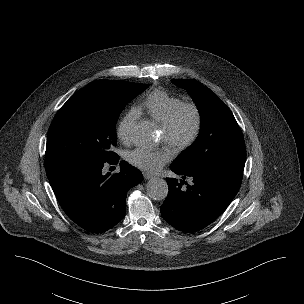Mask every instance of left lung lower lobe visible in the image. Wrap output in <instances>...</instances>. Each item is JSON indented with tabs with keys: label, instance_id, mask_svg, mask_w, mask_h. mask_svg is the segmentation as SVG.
<instances>
[{
	"label": "left lung lower lobe",
	"instance_id": "left-lung-lower-lobe-1",
	"mask_svg": "<svg viewBox=\"0 0 304 304\" xmlns=\"http://www.w3.org/2000/svg\"><path fill=\"white\" fill-rule=\"evenodd\" d=\"M171 170L182 179L167 178L169 193L161 206L163 218L177 230L196 232L212 223L237 194L243 171L234 169L182 170L172 163ZM187 187H183V184Z\"/></svg>",
	"mask_w": 304,
	"mask_h": 304
}]
</instances>
